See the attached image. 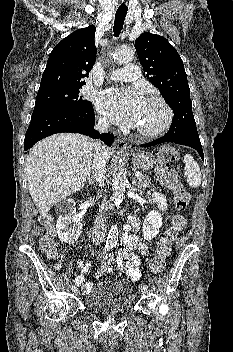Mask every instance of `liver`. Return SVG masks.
<instances>
[{"mask_svg": "<svg viewBox=\"0 0 233 352\" xmlns=\"http://www.w3.org/2000/svg\"><path fill=\"white\" fill-rule=\"evenodd\" d=\"M93 150L94 142L77 133L54 134L34 145L25 162V174L41 217L84 187L91 173ZM103 153L109 160L108 148Z\"/></svg>", "mask_w": 233, "mask_h": 352, "instance_id": "liver-1", "label": "liver"}]
</instances>
